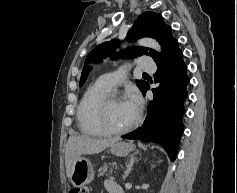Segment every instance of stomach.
<instances>
[{"mask_svg": "<svg viewBox=\"0 0 237 193\" xmlns=\"http://www.w3.org/2000/svg\"><path fill=\"white\" fill-rule=\"evenodd\" d=\"M132 143L117 141L110 146V152L118 157H125L134 150ZM94 178V170L91 162L85 158H78L73 166L71 182L74 186H84L89 184Z\"/></svg>", "mask_w": 237, "mask_h": 193, "instance_id": "obj_1", "label": "stomach"}]
</instances>
